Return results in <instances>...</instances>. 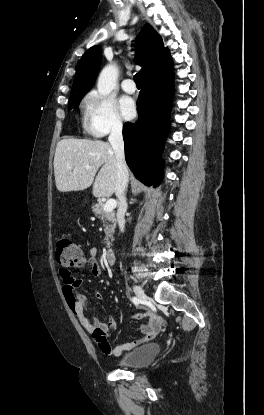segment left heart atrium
<instances>
[{
  "mask_svg": "<svg viewBox=\"0 0 264 415\" xmlns=\"http://www.w3.org/2000/svg\"><path fill=\"white\" fill-rule=\"evenodd\" d=\"M119 109L125 119H131L135 114V105L131 98L122 97L119 101Z\"/></svg>",
  "mask_w": 264,
  "mask_h": 415,
  "instance_id": "39dd6f15",
  "label": "left heart atrium"
}]
</instances>
